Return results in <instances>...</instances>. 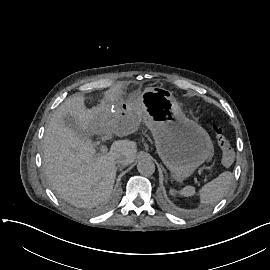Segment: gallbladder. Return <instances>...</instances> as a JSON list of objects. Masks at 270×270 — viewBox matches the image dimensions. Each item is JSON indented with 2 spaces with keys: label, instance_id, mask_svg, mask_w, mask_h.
Listing matches in <instances>:
<instances>
[{
  "label": "gallbladder",
  "instance_id": "bac80fb5",
  "mask_svg": "<svg viewBox=\"0 0 270 270\" xmlns=\"http://www.w3.org/2000/svg\"><path fill=\"white\" fill-rule=\"evenodd\" d=\"M65 124L67 127H69L71 130H73L74 132L76 133H81L83 132L82 131V128L79 124H77L73 118H67L65 120Z\"/></svg>",
  "mask_w": 270,
  "mask_h": 270
}]
</instances>
